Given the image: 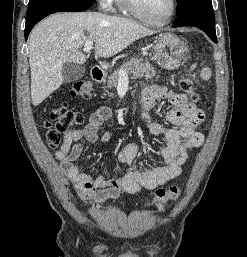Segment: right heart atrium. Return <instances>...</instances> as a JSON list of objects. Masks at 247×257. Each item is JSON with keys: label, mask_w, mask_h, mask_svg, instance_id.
<instances>
[{"label": "right heart atrium", "mask_w": 247, "mask_h": 257, "mask_svg": "<svg viewBox=\"0 0 247 257\" xmlns=\"http://www.w3.org/2000/svg\"><path fill=\"white\" fill-rule=\"evenodd\" d=\"M115 1L116 0H97L100 8L105 10V11L112 10Z\"/></svg>", "instance_id": "right-heart-atrium-1"}]
</instances>
